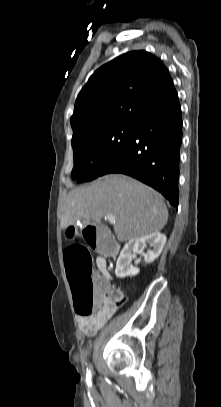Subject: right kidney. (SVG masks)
I'll use <instances>...</instances> for the list:
<instances>
[{
	"label": "right kidney",
	"instance_id": "ca27d5eb",
	"mask_svg": "<svg viewBox=\"0 0 221 407\" xmlns=\"http://www.w3.org/2000/svg\"><path fill=\"white\" fill-rule=\"evenodd\" d=\"M147 243L153 248L148 250L144 255L145 263L153 262L162 252L166 243V236L160 232L130 240L122 249L116 263L115 274L119 278L135 276L139 273V268L134 267L131 262L136 253H142Z\"/></svg>",
	"mask_w": 221,
	"mask_h": 407
}]
</instances>
